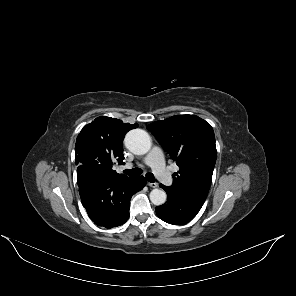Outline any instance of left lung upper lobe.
<instances>
[{
  "mask_svg": "<svg viewBox=\"0 0 296 296\" xmlns=\"http://www.w3.org/2000/svg\"><path fill=\"white\" fill-rule=\"evenodd\" d=\"M147 128L180 168L169 188L207 195L217 156L211 125L195 115H175Z\"/></svg>",
  "mask_w": 296,
  "mask_h": 296,
  "instance_id": "left-lung-upper-lobe-1",
  "label": "left lung upper lobe"
}]
</instances>
